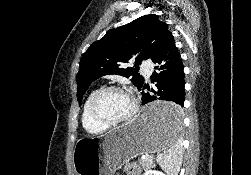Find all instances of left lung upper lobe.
I'll list each match as a JSON object with an SVG mask.
<instances>
[{"mask_svg": "<svg viewBox=\"0 0 251 175\" xmlns=\"http://www.w3.org/2000/svg\"><path fill=\"white\" fill-rule=\"evenodd\" d=\"M168 24L158 15H144L117 29L109 30L105 36L90 45L82 55L80 69L76 77L79 104L89 85L103 75L119 74L132 76L133 83L140 89L144 78L138 69L142 60L153 58L164 45L168 34ZM134 60V67L124 64Z\"/></svg>", "mask_w": 251, "mask_h": 175, "instance_id": "left-lung-upper-lobe-1", "label": "left lung upper lobe"}]
</instances>
